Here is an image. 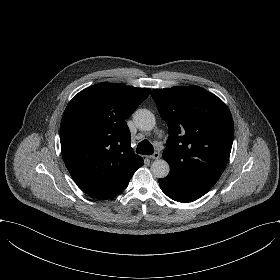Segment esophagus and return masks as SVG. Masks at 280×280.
Here are the masks:
<instances>
[{
	"label": "esophagus",
	"instance_id": "34e87169",
	"mask_svg": "<svg viewBox=\"0 0 280 280\" xmlns=\"http://www.w3.org/2000/svg\"><path fill=\"white\" fill-rule=\"evenodd\" d=\"M149 158L157 160V159L161 158V154H160V152H154V154H152Z\"/></svg>",
	"mask_w": 280,
	"mask_h": 280
}]
</instances>
